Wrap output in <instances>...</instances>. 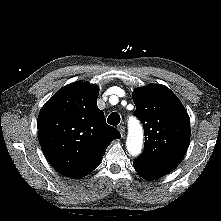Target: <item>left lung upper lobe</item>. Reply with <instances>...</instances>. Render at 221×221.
<instances>
[{
	"label": "left lung upper lobe",
	"instance_id": "left-lung-upper-lobe-1",
	"mask_svg": "<svg viewBox=\"0 0 221 221\" xmlns=\"http://www.w3.org/2000/svg\"><path fill=\"white\" fill-rule=\"evenodd\" d=\"M135 114L145 132L144 151L134 162L170 173L181 162L190 141V118L175 94L163 85L135 89Z\"/></svg>",
	"mask_w": 221,
	"mask_h": 221
}]
</instances>
